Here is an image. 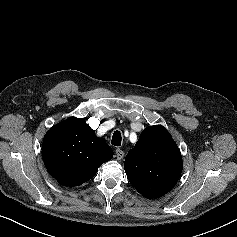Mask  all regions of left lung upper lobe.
I'll return each instance as SVG.
<instances>
[{
    "label": "left lung upper lobe",
    "mask_w": 237,
    "mask_h": 237,
    "mask_svg": "<svg viewBox=\"0 0 237 237\" xmlns=\"http://www.w3.org/2000/svg\"><path fill=\"white\" fill-rule=\"evenodd\" d=\"M127 178L145 198L167 194L182 172V157L169 132L161 125L150 126L126 155Z\"/></svg>",
    "instance_id": "obj_1"
}]
</instances>
